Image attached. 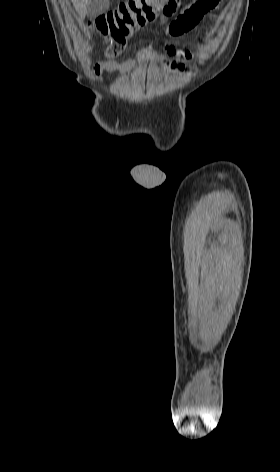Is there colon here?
I'll return each instance as SVG.
<instances>
[{"mask_svg": "<svg viewBox=\"0 0 280 472\" xmlns=\"http://www.w3.org/2000/svg\"><path fill=\"white\" fill-rule=\"evenodd\" d=\"M182 0H128L97 17L90 28L108 45V54H120L133 32L158 17L168 18L181 6ZM219 0H207L205 8H214Z\"/></svg>", "mask_w": 280, "mask_h": 472, "instance_id": "1", "label": "colon"}]
</instances>
